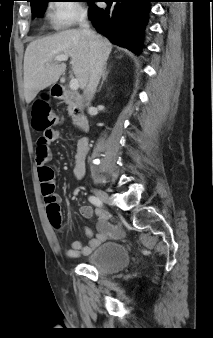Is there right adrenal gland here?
I'll use <instances>...</instances> for the list:
<instances>
[{
    "label": "right adrenal gland",
    "instance_id": "1",
    "mask_svg": "<svg viewBox=\"0 0 213 338\" xmlns=\"http://www.w3.org/2000/svg\"><path fill=\"white\" fill-rule=\"evenodd\" d=\"M109 70H107V65L104 66L103 72H102V80L101 83L98 87V89L96 90V93L99 92L103 86L104 81L106 80L107 76H108Z\"/></svg>",
    "mask_w": 213,
    "mask_h": 338
}]
</instances>
